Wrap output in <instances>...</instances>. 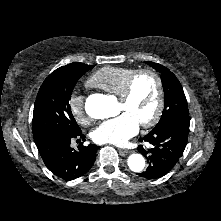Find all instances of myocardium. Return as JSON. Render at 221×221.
I'll list each match as a JSON object with an SVG mask.
<instances>
[{"label": "myocardium", "mask_w": 221, "mask_h": 221, "mask_svg": "<svg viewBox=\"0 0 221 221\" xmlns=\"http://www.w3.org/2000/svg\"><path fill=\"white\" fill-rule=\"evenodd\" d=\"M143 75H149L152 78H154L157 86V101H156V107L153 115L150 119L140 122V125L142 127H151L154 126L160 119L163 108H164V85L161 76L152 69H140L135 71L132 75L129 76V78L126 80L125 85L121 91V93L118 95V99L121 102H126L130 99L132 95L133 86L135 84V81Z\"/></svg>", "instance_id": "f54148a6"}]
</instances>
